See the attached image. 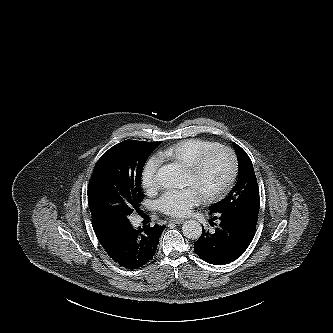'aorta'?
Segmentation results:
<instances>
[{"instance_id":"obj_1","label":"aorta","mask_w":333,"mask_h":333,"mask_svg":"<svg viewBox=\"0 0 333 333\" xmlns=\"http://www.w3.org/2000/svg\"><path fill=\"white\" fill-rule=\"evenodd\" d=\"M156 179L165 188H182L185 183L182 169L174 163L162 166L156 174ZM182 232L185 237L196 240L202 234V226L196 220H188L183 223Z\"/></svg>"}]
</instances>
